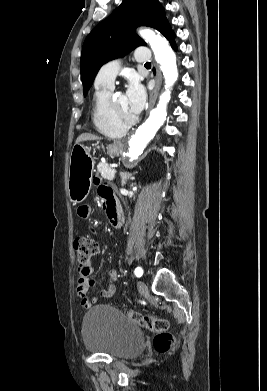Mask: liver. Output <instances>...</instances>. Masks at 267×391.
<instances>
[{
    "label": "liver",
    "mask_w": 267,
    "mask_h": 391,
    "mask_svg": "<svg viewBox=\"0 0 267 391\" xmlns=\"http://www.w3.org/2000/svg\"><path fill=\"white\" fill-rule=\"evenodd\" d=\"M98 139H100L98 136H95L90 133H83L80 136H78V138L76 140V144H79L80 142H83V141L98 140Z\"/></svg>",
    "instance_id": "6515ba94"
}]
</instances>
